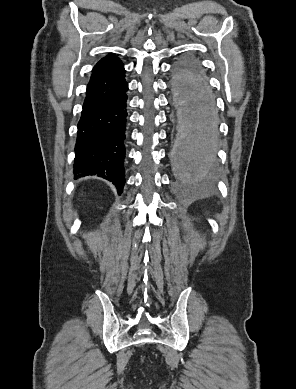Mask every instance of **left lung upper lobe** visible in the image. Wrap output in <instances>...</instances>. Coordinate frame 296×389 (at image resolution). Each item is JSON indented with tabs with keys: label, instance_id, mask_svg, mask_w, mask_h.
Masks as SVG:
<instances>
[{
	"label": "left lung upper lobe",
	"instance_id": "left-lung-upper-lobe-1",
	"mask_svg": "<svg viewBox=\"0 0 296 389\" xmlns=\"http://www.w3.org/2000/svg\"><path fill=\"white\" fill-rule=\"evenodd\" d=\"M176 78H175V87L180 89L181 91L186 90L188 88H192L195 86L197 79L199 77L204 78V74L201 71V68L197 61L193 58H184L179 61L175 67ZM184 103H185V117L190 122V126L193 123V115L192 112L187 107V100L183 93L181 92ZM209 126L206 124V129Z\"/></svg>",
	"mask_w": 296,
	"mask_h": 389
}]
</instances>
